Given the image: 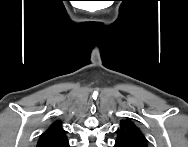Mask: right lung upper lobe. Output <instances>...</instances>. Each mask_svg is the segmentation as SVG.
<instances>
[{
	"instance_id": "obj_1",
	"label": "right lung upper lobe",
	"mask_w": 188,
	"mask_h": 147,
	"mask_svg": "<svg viewBox=\"0 0 188 147\" xmlns=\"http://www.w3.org/2000/svg\"><path fill=\"white\" fill-rule=\"evenodd\" d=\"M66 131L59 120L55 121L40 137L37 147H68Z\"/></svg>"
}]
</instances>
